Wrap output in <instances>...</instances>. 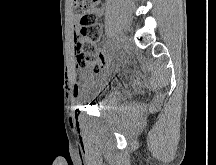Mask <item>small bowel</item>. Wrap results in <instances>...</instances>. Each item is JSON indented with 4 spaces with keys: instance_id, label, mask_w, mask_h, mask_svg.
<instances>
[{
    "instance_id": "c3829d8e",
    "label": "small bowel",
    "mask_w": 216,
    "mask_h": 165,
    "mask_svg": "<svg viewBox=\"0 0 216 165\" xmlns=\"http://www.w3.org/2000/svg\"><path fill=\"white\" fill-rule=\"evenodd\" d=\"M103 11H104L103 7L97 8L95 10L96 16H100L103 13ZM105 56L106 58H108V55H105ZM90 89H95V86L91 84L90 79L88 77H85L83 85L81 87H76L74 89V97H78L79 94L81 93H88Z\"/></svg>"
}]
</instances>
